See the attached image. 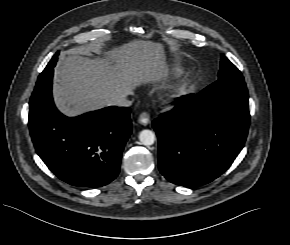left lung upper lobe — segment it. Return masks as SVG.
Returning a JSON list of instances; mask_svg holds the SVG:
<instances>
[{"label":"left lung upper lobe","instance_id":"1","mask_svg":"<svg viewBox=\"0 0 290 245\" xmlns=\"http://www.w3.org/2000/svg\"><path fill=\"white\" fill-rule=\"evenodd\" d=\"M218 77V80L244 79L238 68L233 65L224 55H222L220 62Z\"/></svg>","mask_w":290,"mask_h":245}]
</instances>
